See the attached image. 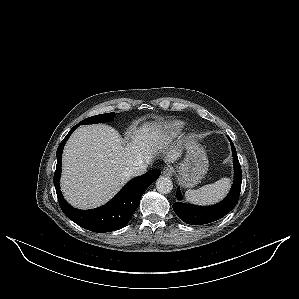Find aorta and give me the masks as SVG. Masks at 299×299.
<instances>
[{
	"label": "aorta",
	"instance_id": "762f6f07",
	"mask_svg": "<svg viewBox=\"0 0 299 299\" xmlns=\"http://www.w3.org/2000/svg\"><path fill=\"white\" fill-rule=\"evenodd\" d=\"M156 189L162 194H168L173 189L172 180L169 177H160L156 181Z\"/></svg>",
	"mask_w": 299,
	"mask_h": 299
}]
</instances>
